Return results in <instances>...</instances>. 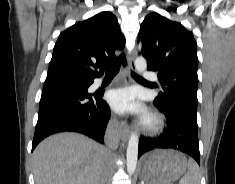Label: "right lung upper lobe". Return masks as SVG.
Instances as JSON below:
<instances>
[{
  "instance_id": "1",
  "label": "right lung upper lobe",
  "mask_w": 235,
  "mask_h": 184,
  "mask_svg": "<svg viewBox=\"0 0 235 184\" xmlns=\"http://www.w3.org/2000/svg\"><path fill=\"white\" fill-rule=\"evenodd\" d=\"M124 44L117 18L111 12L105 11L77 22L60 34L46 79L100 77L104 73L102 65L114 60V52L122 49Z\"/></svg>"
}]
</instances>
